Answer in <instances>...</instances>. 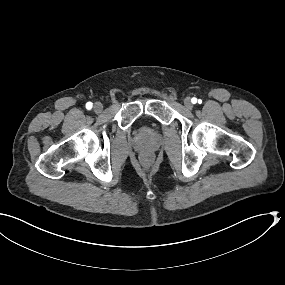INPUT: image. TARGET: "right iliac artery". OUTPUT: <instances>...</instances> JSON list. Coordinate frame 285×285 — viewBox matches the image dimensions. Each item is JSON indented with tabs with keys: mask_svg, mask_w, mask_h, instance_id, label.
<instances>
[{
	"mask_svg": "<svg viewBox=\"0 0 285 285\" xmlns=\"http://www.w3.org/2000/svg\"><path fill=\"white\" fill-rule=\"evenodd\" d=\"M92 107H93V104H92L91 102H87V103H86V108H87L88 110H90Z\"/></svg>",
	"mask_w": 285,
	"mask_h": 285,
	"instance_id": "82829eb1",
	"label": "right iliac artery"
}]
</instances>
